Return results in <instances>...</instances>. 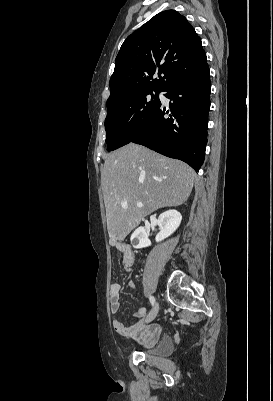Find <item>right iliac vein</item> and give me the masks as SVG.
<instances>
[{
  "label": "right iliac vein",
  "instance_id": "obj_1",
  "mask_svg": "<svg viewBox=\"0 0 273 401\" xmlns=\"http://www.w3.org/2000/svg\"><path fill=\"white\" fill-rule=\"evenodd\" d=\"M159 311V303H155L153 309L149 312L147 317L144 319L145 322L149 323L152 320H154L158 314Z\"/></svg>",
  "mask_w": 273,
  "mask_h": 401
}]
</instances>
